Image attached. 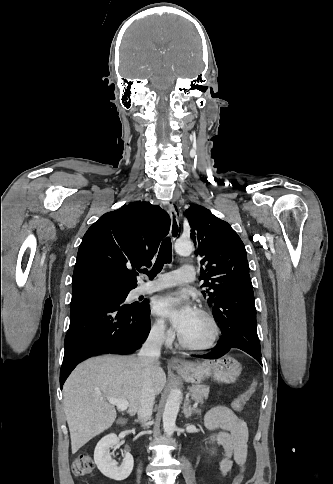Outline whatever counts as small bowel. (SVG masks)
I'll use <instances>...</instances> for the list:
<instances>
[{"label":"small bowel","instance_id":"c3829d8e","mask_svg":"<svg viewBox=\"0 0 333 484\" xmlns=\"http://www.w3.org/2000/svg\"><path fill=\"white\" fill-rule=\"evenodd\" d=\"M205 426L217 430L208 439L222 447L224 457L220 462L223 475L236 464L244 470L247 459L248 426L244 419L227 406L212 408L205 416Z\"/></svg>","mask_w":333,"mask_h":484}]
</instances>
